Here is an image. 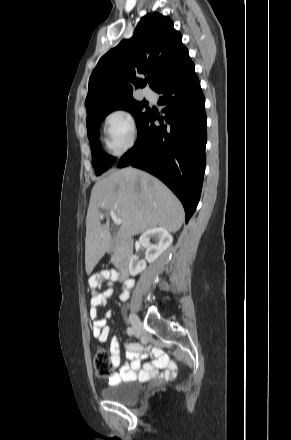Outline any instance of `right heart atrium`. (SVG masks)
<instances>
[{
  "mask_svg": "<svg viewBox=\"0 0 291 440\" xmlns=\"http://www.w3.org/2000/svg\"><path fill=\"white\" fill-rule=\"evenodd\" d=\"M104 142L106 148L115 155H122L135 143L134 121L126 109H116L104 119Z\"/></svg>",
  "mask_w": 291,
  "mask_h": 440,
  "instance_id": "d8ad5b80",
  "label": "right heart atrium"
}]
</instances>
